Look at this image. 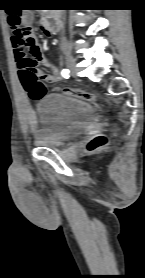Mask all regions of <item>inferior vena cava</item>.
Returning <instances> with one entry per match:
<instances>
[{
	"label": "inferior vena cava",
	"mask_w": 145,
	"mask_h": 278,
	"mask_svg": "<svg viewBox=\"0 0 145 278\" xmlns=\"http://www.w3.org/2000/svg\"><path fill=\"white\" fill-rule=\"evenodd\" d=\"M64 41H65V38L62 39V42H64Z\"/></svg>",
	"instance_id": "1"
}]
</instances>
